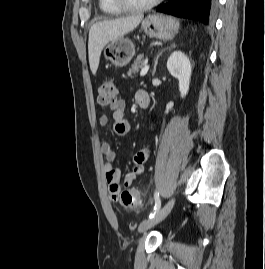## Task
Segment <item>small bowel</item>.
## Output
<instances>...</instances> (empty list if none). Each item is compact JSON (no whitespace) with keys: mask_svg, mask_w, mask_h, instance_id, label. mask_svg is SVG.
Listing matches in <instances>:
<instances>
[{"mask_svg":"<svg viewBox=\"0 0 265 269\" xmlns=\"http://www.w3.org/2000/svg\"><path fill=\"white\" fill-rule=\"evenodd\" d=\"M136 102L141 106V101H146L147 105L150 102V97L148 93L144 90H139L135 94ZM125 101L118 100L112 106V119L114 121V130L116 134L120 136H124L130 131V123L125 118ZM99 124L102 127H107L110 124V118L107 115H102L99 118ZM101 151L105 157V164L103 166V170L105 173V178L107 183L110 186V191L112 195L115 197L112 192V188H117L119 190V181H120V171L116 169L113 165L116 160V152L112 146V144L105 142L101 146ZM151 154V147L146 146L145 148L136 152L133 156V166L131 170L124 177V184L131 185L136 181V179L143 173L144 166L147 160L149 159Z\"/></svg>","mask_w":265,"mask_h":269,"instance_id":"1","label":"small bowel"}]
</instances>
